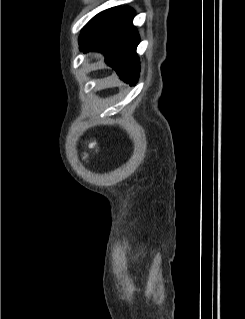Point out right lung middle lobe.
Wrapping results in <instances>:
<instances>
[{"mask_svg": "<svg viewBox=\"0 0 245 319\" xmlns=\"http://www.w3.org/2000/svg\"><path fill=\"white\" fill-rule=\"evenodd\" d=\"M120 7H113L110 8L108 10H105L101 13H99L98 15H96L93 19H91L89 21V23L85 26V28H91L95 25H97L98 23H100L101 21L105 20L106 18H108L109 16H111L112 14H114L117 10H119Z\"/></svg>", "mask_w": 245, "mask_h": 319, "instance_id": "obj_1", "label": "right lung middle lobe"}]
</instances>
